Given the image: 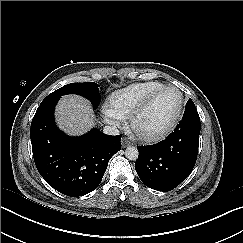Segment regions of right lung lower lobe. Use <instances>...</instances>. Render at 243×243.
<instances>
[{"label": "right lung lower lobe", "instance_id": "right-lung-lower-lobe-1", "mask_svg": "<svg viewBox=\"0 0 243 243\" xmlns=\"http://www.w3.org/2000/svg\"><path fill=\"white\" fill-rule=\"evenodd\" d=\"M58 100H43L32 119L33 157L40 175L51 187L79 197L99 186L110 158L121 149V135H105L97 129L80 137L65 135L54 122Z\"/></svg>", "mask_w": 243, "mask_h": 243}]
</instances>
